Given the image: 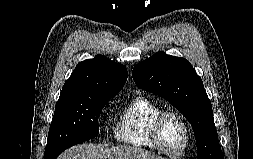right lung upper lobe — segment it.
Returning a JSON list of instances; mask_svg holds the SVG:
<instances>
[{
	"label": "right lung upper lobe",
	"mask_w": 253,
	"mask_h": 159,
	"mask_svg": "<svg viewBox=\"0 0 253 159\" xmlns=\"http://www.w3.org/2000/svg\"><path fill=\"white\" fill-rule=\"evenodd\" d=\"M127 69L103 55L80 62L65 82L59 100L74 97H114L127 80Z\"/></svg>",
	"instance_id": "cb5924a9"
}]
</instances>
